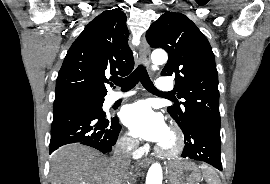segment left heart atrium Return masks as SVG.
I'll list each match as a JSON object with an SVG mask.
<instances>
[{"instance_id":"obj_1","label":"left heart atrium","mask_w":270,"mask_h":184,"mask_svg":"<svg viewBox=\"0 0 270 184\" xmlns=\"http://www.w3.org/2000/svg\"><path fill=\"white\" fill-rule=\"evenodd\" d=\"M122 120L134 137L159 144L169 132L162 115L145 100L128 105L123 111Z\"/></svg>"}]
</instances>
